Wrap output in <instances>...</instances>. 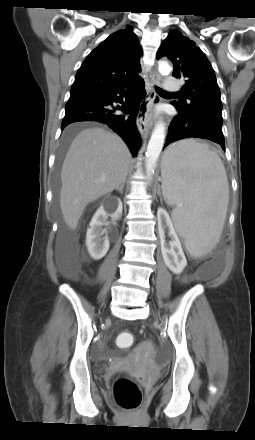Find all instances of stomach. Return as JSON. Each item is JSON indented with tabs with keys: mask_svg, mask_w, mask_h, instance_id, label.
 I'll list each match as a JSON object with an SVG mask.
<instances>
[{
	"mask_svg": "<svg viewBox=\"0 0 255 440\" xmlns=\"http://www.w3.org/2000/svg\"><path fill=\"white\" fill-rule=\"evenodd\" d=\"M167 162H168V150H167L166 153L164 154L162 164H166Z\"/></svg>",
	"mask_w": 255,
	"mask_h": 440,
	"instance_id": "1",
	"label": "stomach"
}]
</instances>
